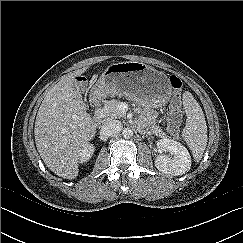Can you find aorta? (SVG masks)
<instances>
[{"label": "aorta", "instance_id": "762f6f07", "mask_svg": "<svg viewBox=\"0 0 243 243\" xmlns=\"http://www.w3.org/2000/svg\"><path fill=\"white\" fill-rule=\"evenodd\" d=\"M122 135L125 139H129L133 136V131L130 128H125L122 132Z\"/></svg>", "mask_w": 243, "mask_h": 243}]
</instances>
